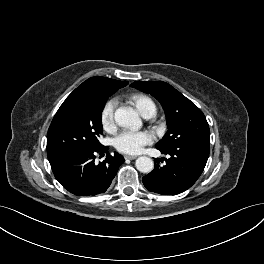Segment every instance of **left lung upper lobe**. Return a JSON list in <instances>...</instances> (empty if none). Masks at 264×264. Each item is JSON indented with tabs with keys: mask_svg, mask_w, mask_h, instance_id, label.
<instances>
[{
	"mask_svg": "<svg viewBox=\"0 0 264 264\" xmlns=\"http://www.w3.org/2000/svg\"><path fill=\"white\" fill-rule=\"evenodd\" d=\"M130 86L154 96L165 111L168 131L156 148L167 150L183 142L210 144L209 125L203 112L170 84L136 81Z\"/></svg>",
	"mask_w": 264,
	"mask_h": 264,
	"instance_id": "left-lung-upper-lobe-1",
	"label": "left lung upper lobe"
}]
</instances>
